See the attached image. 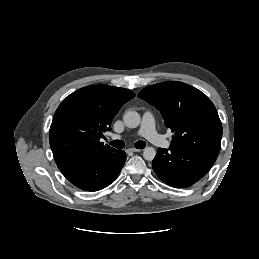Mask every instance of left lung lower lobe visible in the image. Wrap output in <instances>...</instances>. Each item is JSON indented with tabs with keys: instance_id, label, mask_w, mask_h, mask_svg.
<instances>
[{
	"instance_id": "0a47b994",
	"label": "left lung lower lobe",
	"mask_w": 259,
	"mask_h": 259,
	"mask_svg": "<svg viewBox=\"0 0 259 259\" xmlns=\"http://www.w3.org/2000/svg\"><path fill=\"white\" fill-rule=\"evenodd\" d=\"M218 154L181 152L170 147L158 148L152 166L158 177L172 187L184 188L201 179L212 167Z\"/></svg>"
}]
</instances>
